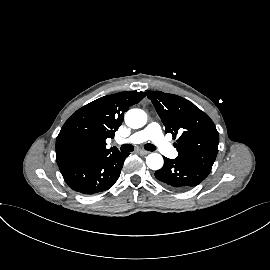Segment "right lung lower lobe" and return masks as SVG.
Returning <instances> with one entry per match:
<instances>
[{
    "label": "right lung lower lobe",
    "instance_id": "right-lung-lower-lobe-1",
    "mask_svg": "<svg viewBox=\"0 0 270 270\" xmlns=\"http://www.w3.org/2000/svg\"><path fill=\"white\" fill-rule=\"evenodd\" d=\"M129 153L114 151L94 155L59 166L66 183L82 194H94L109 189L119 178Z\"/></svg>",
    "mask_w": 270,
    "mask_h": 270
}]
</instances>
